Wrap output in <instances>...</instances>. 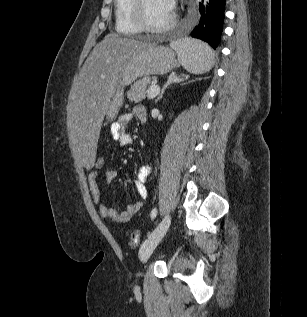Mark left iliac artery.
<instances>
[{
    "instance_id": "left-iliac-artery-1",
    "label": "left iliac artery",
    "mask_w": 307,
    "mask_h": 317,
    "mask_svg": "<svg viewBox=\"0 0 307 317\" xmlns=\"http://www.w3.org/2000/svg\"><path fill=\"white\" fill-rule=\"evenodd\" d=\"M157 215V208L152 209L151 211V219L153 220Z\"/></svg>"
}]
</instances>
